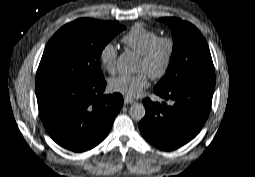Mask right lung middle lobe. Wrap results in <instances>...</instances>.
Returning a JSON list of instances; mask_svg holds the SVG:
<instances>
[{
  "label": "right lung middle lobe",
  "mask_w": 255,
  "mask_h": 177,
  "mask_svg": "<svg viewBox=\"0 0 255 177\" xmlns=\"http://www.w3.org/2000/svg\"><path fill=\"white\" fill-rule=\"evenodd\" d=\"M125 27L118 22L78 19L63 26L48 42L36 85L48 81L90 84L101 80L100 55L106 44Z\"/></svg>",
  "instance_id": "dd1d6c3e"
}]
</instances>
